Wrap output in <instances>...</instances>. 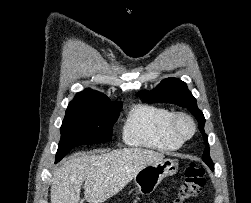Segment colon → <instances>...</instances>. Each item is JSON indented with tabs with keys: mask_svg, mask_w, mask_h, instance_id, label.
Returning a JSON list of instances; mask_svg holds the SVG:
<instances>
[{
	"mask_svg": "<svg viewBox=\"0 0 251 203\" xmlns=\"http://www.w3.org/2000/svg\"><path fill=\"white\" fill-rule=\"evenodd\" d=\"M205 185V170L195 163L185 169V179L179 187L177 197L170 203H184L197 197Z\"/></svg>",
	"mask_w": 251,
	"mask_h": 203,
	"instance_id": "obj_1",
	"label": "colon"
}]
</instances>
